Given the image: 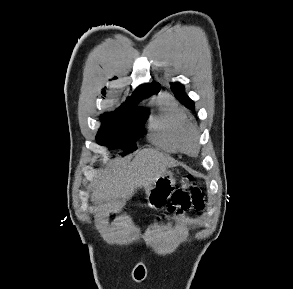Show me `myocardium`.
<instances>
[{
  "instance_id": "f54148a6",
  "label": "myocardium",
  "mask_w": 293,
  "mask_h": 289,
  "mask_svg": "<svg viewBox=\"0 0 293 289\" xmlns=\"http://www.w3.org/2000/svg\"><path fill=\"white\" fill-rule=\"evenodd\" d=\"M199 133L196 128L189 124V126L183 131L181 136V151L194 155L199 150Z\"/></svg>"
}]
</instances>
